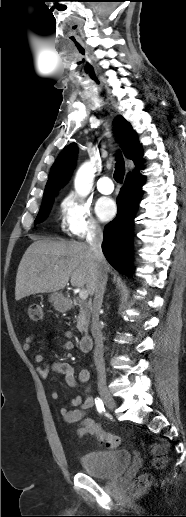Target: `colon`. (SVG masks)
<instances>
[{"mask_svg":"<svg viewBox=\"0 0 186 517\" xmlns=\"http://www.w3.org/2000/svg\"><path fill=\"white\" fill-rule=\"evenodd\" d=\"M28 317L33 322H40L43 317L42 307L39 304H31L28 307ZM98 439L106 448L114 449L120 444V439L116 435L98 429ZM150 453L153 459V465L162 468L167 463L166 450L162 445L154 444L150 447ZM149 485L148 478L143 476L139 478L133 486V492L139 494L143 492Z\"/></svg>","mask_w":186,"mask_h":517,"instance_id":"colon-1","label":"colon"}]
</instances>
